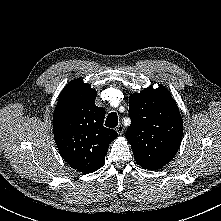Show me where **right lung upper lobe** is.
I'll use <instances>...</instances> for the list:
<instances>
[{
    "mask_svg": "<svg viewBox=\"0 0 221 221\" xmlns=\"http://www.w3.org/2000/svg\"><path fill=\"white\" fill-rule=\"evenodd\" d=\"M96 91L80 79L63 89L53 115L57 148L73 168L91 173L101 168L109 144L118 136L103 126L105 110L95 105Z\"/></svg>",
    "mask_w": 221,
    "mask_h": 221,
    "instance_id": "right-lung-upper-lobe-1",
    "label": "right lung upper lobe"
}]
</instances>
